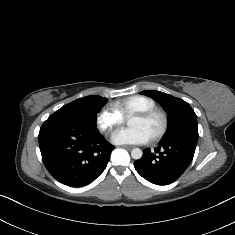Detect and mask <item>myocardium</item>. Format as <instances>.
<instances>
[{"label":"myocardium","mask_w":235,"mask_h":235,"mask_svg":"<svg viewBox=\"0 0 235 235\" xmlns=\"http://www.w3.org/2000/svg\"><path fill=\"white\" fill-rule=\"evenodd\" d=\"M135 116L145 121H149L154 117H159L161 119L162 126L160 130L150 138L151 142H157L162 139L169 129V117L166 112L159 108H152L144 112H139L136 113Z\"/></svg>","instance_id":"f54148a6"}]
</instances>
